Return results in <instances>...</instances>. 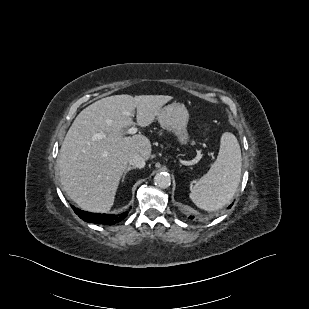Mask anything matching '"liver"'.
<instances>
[{"instance_id":"obj_1","label":"liver","mask_w":309,"mask_h":309,"mask_svg":"<svg viewBox=\"0 0 309 309\" xmlns=\"http://www.w3.org/2000/svg\"><path fill=\"white\" fill-rule=\"evenodd\" d=\"M172 99L166 95H114L78 114L62 143L58 166L64 191L80 208L99 213L111 209L129 158L139 154L148 160L151 155L146 136H125L124 129L134 124L132 112L137 110V124L146 127ZM97 134L102 138H95Z\"/></svg>"}]
</instances>
